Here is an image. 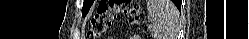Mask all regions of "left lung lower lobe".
<instances>
[{
	"label": "left lung lower lobe",
	"mask_w": 249,
	"mask_h": 39,
	"mask_svg": "<svg viewBox=\"0 0 249 39\" xmlns=\"http://www.w3.org/2000/svg\"><path fill=\"white\" fill-rule=\"evenodd\" d=\"M173 2L176 4V6L181 9V1L179 0H173Z\"/></svg>",
	"instance_id": "obj_1"
}]
</instances>
